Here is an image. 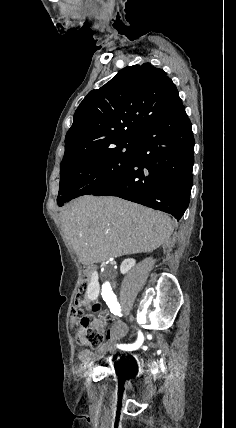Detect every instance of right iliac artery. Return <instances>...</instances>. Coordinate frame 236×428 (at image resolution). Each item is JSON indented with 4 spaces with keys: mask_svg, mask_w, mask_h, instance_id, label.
<instances>
[{
    "mask_svg": "<svg viewBox=\"0 0 236 428\" xmlns=\"http://www.w3.org/2000/svg\"><path fill=\"white\" fill-rule=\"evenodd\" d=\"M101 295L103 297V300L106 302V304L110 308V311L114 315H118L119 317H121L122 316L121 306H120L119 302L117 301L116 295L113 292H102ZM143 341H144V336L141 333V331H139L138 332V339L135 343H133V344H120V345L117 344V347L121 350L132 351V350L138 349L142 345Z\"/></svg>",
    "mask_w": 236,
    "mask_h": 428,
    "instance_id": "right-iliac-artery-1",
    "label": "right iliac artery"
}]
</instances>
